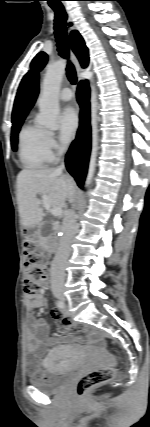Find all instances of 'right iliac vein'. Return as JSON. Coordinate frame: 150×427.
Wrapping results in <instances>:
<instances>
[{
  "instance_id": "1",
  "label": "right iliac vein",
  "mask_w": 150,
  "mask_h": 427,
  "mask_svg": "<svg viewBox=\"0 0 150 427\" xmlns=\"http://www.w3.org/2000/svg\"><path fill=\"white\" fill-rule=\"evenodd\" d=\"M55 296L60 299H64L63 292L61 290L55 291Z\"/></svg>"
}]
</instances>
